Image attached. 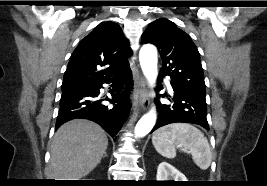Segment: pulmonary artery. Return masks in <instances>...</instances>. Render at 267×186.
I'll list each match as a JSON object with an SVG mask.
<instances>
[{
    "instance_id": "e3ab8cb5",
    "label": "pulmonary artery",
    "mask_w": 267,
    "mask_h": 186,
    "mask_svg": "<svg viewBox=\"0 0 267 186\" xmlns=\"http://www.w3.org/2000/svg\"><path fill=\"white\" fill-rule=\"evenodd\" d=\"M167 84V87L171 90L172 88H171V85H170V83L169 82H167L166 83Z\"/></svg>"
}]
</instances>
